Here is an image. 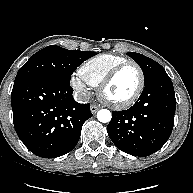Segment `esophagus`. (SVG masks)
I'll return each mask as SVG.
<instances>
[{
  "label": "esophagus",
  "mask_w": 193,
  "mask_h": 193,
  "mask_svg": "<svg viewBox=\"0 0 193 193\" xmlns=\"http://www.w3.org/2000/svg\"><path fill=\"white\" fill-rule=\"evenodd\" d=\"M90 109H91V112H92L93 114H95V113L99 110V107L96 106V105H91Z\"/></svg>",
  "instance_id": "34e87169"
}]
</instances>
